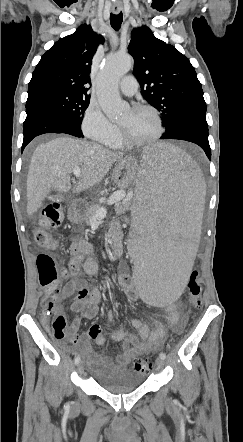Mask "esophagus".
Here are the masks:
<instances>
[{
  "label": "esophagus",
  "instance_id": "1",
  "mask_svg": "<svg viewBox=\"0 0 243 442\" xmlns=\"http://www.w3.org/2000/svg\"><path fill=\"white\" fill-rule=\"evenodd\" d=\"M112 11H113L115 14H118V13L121 11V6H119V5H114L113 8H112Z\"/></svg>",
  "mask_w": 243,
  "mask_h": 442
}]
</instances>
